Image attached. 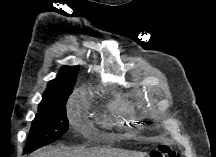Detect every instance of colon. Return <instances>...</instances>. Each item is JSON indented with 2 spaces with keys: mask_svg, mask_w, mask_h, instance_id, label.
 <instances>
[{
  "mask_svg": "<svg viewBox=\"0 0 216 157\" xmlns=\"http://www.w3.org/2000/svg\"><path fill=\"white\" fill-rule=\"evenodd\" d=\"M149 157H177V154L167 145H160L151 152Z\"/></svg>",
  "mask_w": 216,
  "mask_h": 157,
  "instance_id": "obj_1",
  "label": "colon"
}]
</instances>
